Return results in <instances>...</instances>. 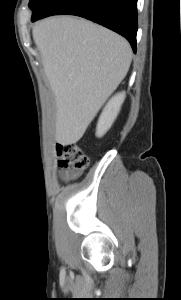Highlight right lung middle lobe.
<instances>
[{"label":"right lung middle lobe","instance_id":"dd1d6c3e","mask_svg":"<svg viewBox=\"0 0 181 300\" xmlns=\"http://www.w3.org/2000/svg\"><path fill=\"white\" fill-rule=\"evenodd\" d=\"M56 1L57 0H30L29 8L32 10V17L42 14Z\"/></svg>","mask_w":181,"mask_h":300}]
</instances>
